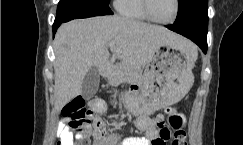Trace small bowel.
<instances>
[{"mask_svg":"<svg viewBox=\"0 0 243 145\" xmlns=\"http://www.w3.org/2000/svg\"><path fill=\"white\" fill-rule=\"evenodd\" d=\"M93 110V122L95 130L93 133L92 145H166L170 139L171 132L168 131L166 137L162 138L160 131L155 127L158 120L162 119L161 115L151 117L140 114L135 121L136 127L143 132V137H128L121 140L117 133H108L105 123L98 114L105 113L107 110L106 103L101 99H94L89 102ZM57 145H74V140L83 139V135L73 133V131L64 122H59L57 127Z\"/></svg>","mask_w":243,"mask_h":145,"instance_id":"small-bowel-1","label":"small bowel"}]
</instances>
